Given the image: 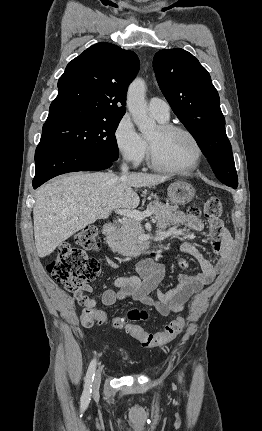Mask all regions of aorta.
Returning a JSON list of instances; mask_svg holds the SVG:
<instances>
[{"label": "aorta", "mask_w": 262, "mask_h": 431, "mask_svg": "<svg viewBox=\"0 0 262 431\" xmlns=\"http://www.w3.org/2000/svg\"><path fill=\"white\" fill-rule=\"evenodd\" d=\"M146 85L142 79H135L128 88L127 108L138 130L143 135L151 134L156 123L148 116V108L145 100Z\"/></svg>", "instance_id": "aorta-1"}]
</instances>
